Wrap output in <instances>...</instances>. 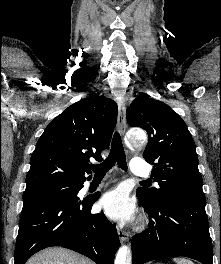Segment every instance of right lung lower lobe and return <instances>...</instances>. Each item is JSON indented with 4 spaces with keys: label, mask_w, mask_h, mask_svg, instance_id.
Returning <instances> with one entry per match:
<instances>
[{
    "label": "right lung lower lobe",
    "mask_w": 221,
    "mask_h": 264,
    "mask_svg": "<svg viewBox=\"0 0 221 264\" xmlns=\"http://www.w3.org/2000/svg\"><path fill=\"white\" fill-rule=\"evenodd\" d=\"M98 197L23 199L14 264H25L51 246L74 250L97 264H113L120 242L116 227L103 213L91 214Z\"/></svg>",
    "instance_id": "1"
}]
</instances>
